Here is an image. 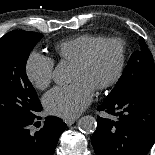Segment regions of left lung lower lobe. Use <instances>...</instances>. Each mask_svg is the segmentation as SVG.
I'll use <instances>...</instances> for the list:
<instances>
[{"label": "left lung lower lobe", "mask_w": 155, "mask_h": 155, "mask_svg": "<svg viewBox=\"0 0 155 155\" xmlns=\"http://www.w3.org/2000/svg\"><path fill=\"white\" fill-rule=\"evenodd\" d=\"M99 111L118 117H100L92 136L96 155H146L155 142V81L107 98Z\"/></svg>", "instance_id": "0a47b994"}]
</instances>
